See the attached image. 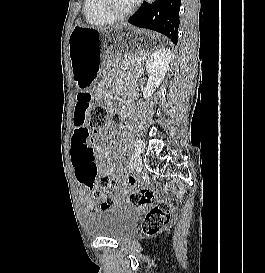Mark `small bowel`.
Masks as SVG:
<instances>
[{"mask_svg":"<svg viewBox=\"0 0 265 273\" xmlns=\"http://www.w3.org/2000/svg\"><path fill=\"white\" fill-rule=\"evenodd\" d=\"M113 112H118L113 110ZM120 113V112H118ZM121 114V113H120ZM122 116V114H121ZM116 131L113 130L111 133L114 134ZM89 136L90 132L88 128H73V133L70 139V161L72 170L74 172L77 182L82 186V201L86 212L91 210V203L89 199V187L82 182L81 173L86 176H90L91 173L96 169L95 175L92 180L95 181L98 172L108 175L111 173V167L104 160L111 158L114 153L107 150L100 156V161L89 152Z\"/></svg>","mask_w":265,"mask_h":273,"instance_id":"obj_1","label":"small bowel"}]
</instances>
